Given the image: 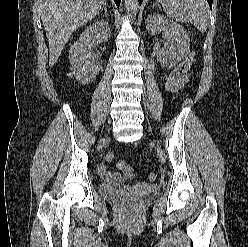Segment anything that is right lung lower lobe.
I'll list each match as a JSON object with an SVG mask.
<instances>
[{"label": "right lung lower lobe", "instance_id": "98d812e1", "mask_svg": "<svg viewBox=\"0 0 248 247\" xmlns=\"http://www.w3.org/2000/svg\"><path fill=\"white\" fill-rule=\"evenodd\" d=\"M114 1H115V3H116L117 7H119L120 1H121V0H114Z\"/></svg>", "mask_w": 248, "mask_h": 247}]
</instances>
